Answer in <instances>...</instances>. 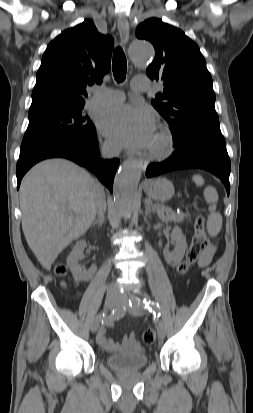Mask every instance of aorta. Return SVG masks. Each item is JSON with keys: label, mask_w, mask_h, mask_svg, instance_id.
I'll return each mask as SVG.
<instances>
[{"label": "aorta", "mask_w": 253, "mask_h": 413, "mask_svg": "<svg viewBox=\"0 0 253 413\" xmlns=\"http://www.w3.org/2000/svg\"><path fill=\"white\" fill-rule=\"evenodd\" d=\"M129 54L134 63L146 66L154 56V49L145 40H134L129 46ZM141 173L142 163L134 158L126 160L118 170L113 194L115 205L121 212L133 211Z\"/></svg>", "instance_id": "obj_1"}]
</instances>
